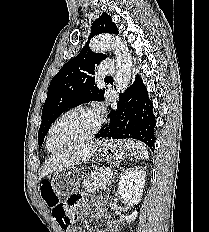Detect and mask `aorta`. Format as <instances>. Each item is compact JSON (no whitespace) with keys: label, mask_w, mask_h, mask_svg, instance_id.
I'll return each instance as SVG.
<instances>
[{"label":"aorta","mask_w":209,"mask_h":232,"mask_svg":"<svg viewBox=\"0 0 209 232\" xmlns=\"http://www.w3.org/2000/svg\"><path fill=\"white\" fill-rule=\"evenodd\" d=\"M90 48L94 52L112 50L116 58L115 83L117 91H124L130 82L132 73V57L125 42L120 38L108 34H101L93 38Z\"/></svg>","instance_id":"762f6f07"}]
</instances>
